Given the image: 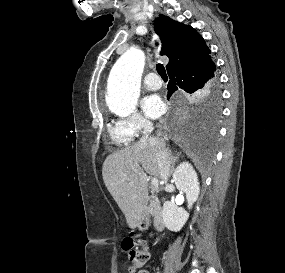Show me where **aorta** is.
<instances>
[{"label":"aorta","mask_w":285,"mask_h":273,"mask_svg":"<svg viewBox=\"0 0 285 273\" xmlns=\"http://www.w3.org/2000/svg\"><path fill=\"white\" fill-rule=\"evenodd\" d=\"M144 64V53L131 48L112 67L106 103L113 113L128 116L136 109Z\"/></svg>","instance_id":"762f6f07"}]
</instances>
